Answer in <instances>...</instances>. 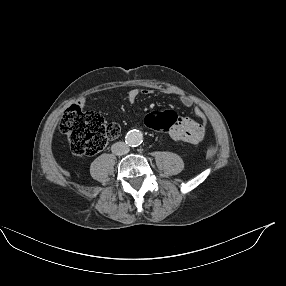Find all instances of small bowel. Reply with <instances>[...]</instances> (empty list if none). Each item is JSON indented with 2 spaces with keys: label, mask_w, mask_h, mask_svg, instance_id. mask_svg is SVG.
<instances>
[{
  "label": "small bowel",
  "mask_w": 286,
  "mask_h": 286,
  "mask_svg": "<svg viewBox=\"0 0 286 286\" xmlns=\"http://www.w3.org/2000/svg\"><path fill=\"white\" fill-rule=\"evenodd\" d=\"M151 93L152 91L149 89L133 87L127 93V101L130 104H134L140 94L148 95ZM183 102L187 106L191 104L190 99L187 97L183 99ZM195 113L201 119V123H197L189 118L181 117L180 123L174 125L170 130H167L173 140L186 144H197L203 140L207 116L201 109H196Z\"/></svg>",
  "instance_id": "small-bowel-1"
}]
</instances>
